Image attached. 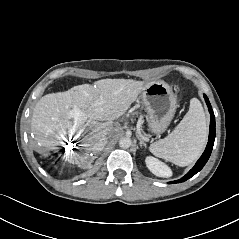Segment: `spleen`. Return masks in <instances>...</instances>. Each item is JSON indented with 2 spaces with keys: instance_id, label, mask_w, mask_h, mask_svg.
<instances>
[{
  "instance_id": "3e777b00",
  "label": "spleen",
  "mask_w": 239,
  "mask_h": 239,
  "mask_svg": "<svg viewBox=\"0 0 239 239\" xmlns=\"http://www.w3.org/2000/svg\"><path fill=\"white\" fill-rule=\"evenodd\" d=\"M207 136L208 128L202 104L197 98H192L188 112L173 132L151 144L149 150L156 157L184 167L202 154Z\"/></svg>"
}]
</instances>
